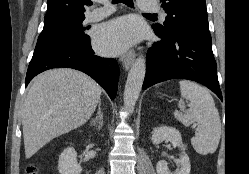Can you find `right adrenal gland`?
I'll return each mask as SVG.
<instances>
[{"mask_svg":"<svg viewBox=\"0 0 249 174\" xmlns=\"http://www.w3.org/2000/svg\"><path fill=\"white\" fill-rule=\"evenodd\" d=\"M91 125L100 130L103 126V112L101 109V99L98 101V111L94 119L91 121Z\"/></svg>","mask_w":249,"mask_h":174,"instance_id":"1","label":"right adrenal gland"}]
</instances>
